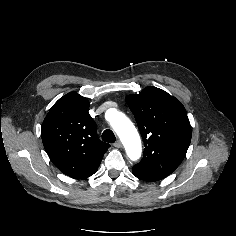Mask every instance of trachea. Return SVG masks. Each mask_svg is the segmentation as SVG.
Returning <instances> with one entry per match:
<instances>
[{"mask_svg": "<svg viewBox=\"0 0 236 236\" xmlns=\"http://www.w3.org/2000/svg\"><path fill=\"white\" fill-rule=\"evenodd\" d=\"M102 140L108 143H113L116 141V137L115 134L113 133L112 130L110 129H106L103 133H102Z\"/></svg>", "mask_w": 236, "mask_h": 236, "instance_id": "3493384b", "label": "trachea"}]
</instances>
